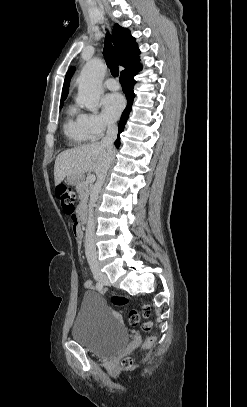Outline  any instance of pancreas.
Listing matches in <instances>:
<instances>
[{
	"label": "pancreas",
	"mask_w": 247,
	"mask_h": 407,
	"mask_svg": "<svg viewBox=\"0 0 247 407\" xmlns=\"http://www.w3.org/2000/svg\"><path fill=\"white\" fill-rule=\"evenodd\" d=\"M92 188V184L87 181H82L76 185V191L79 194L80 206L85 207L88 202L89 192Z\"/></svg>",
	"instance_id": "1"
}]
</instances>
